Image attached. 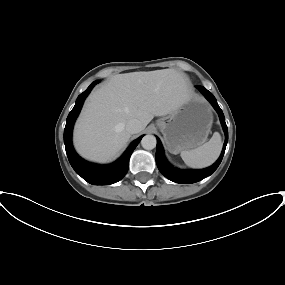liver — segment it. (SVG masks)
<instances>
[{"mask_svg": "<svg viewBox=\"0 0 285 285\" xmlns=\"http://www.w3.org/2000/svg\"><path fill=\"white\" fill-rule=\"evenodd\" d=\"M193 96L188 77L174 69L118 74L88 96L74 129V146L84 158H116L131 134L126 124L172 113Z\"/></svg>", "mask_w": 285, "mask_h": 285, "instance_id": "1", "label": "liver"}]
</instances>
